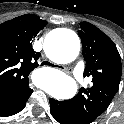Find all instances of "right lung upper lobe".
<instances>
[{
	"mask_svg": "<svg viewBox=\"0 0 124 124\" xmlns=\"http://www.w3.org/2000/svg\"><path fill=\"white\" fill-rule=\"evenodd\" d=\"M47 24L34 14H25L0 24V105L17 102L33 92L29 74L38 66L40 53L32 40Z\"/></svg>",
	"mask_w": 124,
	"mask_h": 124,
	"instance_id": "right-lung-upper-lobe-1",
	"label": "right lung upper lobe"
}]
</instances>
